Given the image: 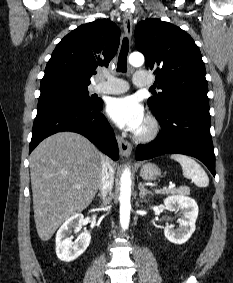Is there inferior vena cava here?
Masks as SVG:
<instances>
[{"instance_id":"602c4592","label":"inferior vena cava","mask_w":233,"mask_h":283,"mask_svg":"<svg viewBox=\"0 0 233 283\" xmlns=\"http://www.w3.org/2000/svg\"><path fill=\"white\" fill-rule=\"evenodd\" d=\"M114 184V170L108 158H104L102 162L101 178H100V195L106 200L108 193L112 191Z\"/></svg>"}]
</instances>
